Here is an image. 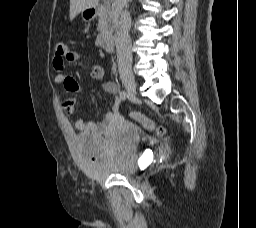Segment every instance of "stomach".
<instances>
[{
  "instance_id": "1",
  "label": "stomach",
  "mask_w": 256,
  "mask_h": 228,
  "mask_svg": "<svg viewBox=\"0 0 256 228\" xmlns=\"http://www.w3.org/2000/svg\"><path fill=\"white\" fill-rule=\"evenodd\" d=\"M91 8H87V9H84L82 12H81V15H82V18L85 20V21H90L94 18V13L91 12Z\"/></svg>"
}]
</instances>
